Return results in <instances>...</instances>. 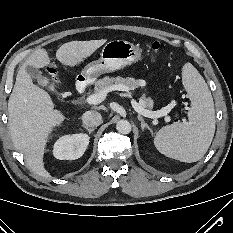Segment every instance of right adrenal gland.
<instances>
[{
  "mask_svg": "<svg viewBox=\"0 0 233 233\" xmlns=\"http://www.w3.org/2000/svg\"><path fill=\"white\" fill-rule=\"evenodd\" d=\"M82 127L85 128L89 132V134H91V132L95 130V128H89L86 125H82Z\"/></svg>",
  "mask_w": 233,
  "mask_h": 233,
  "instance_id": "obj_1",
  "label": "right adrenal gland"
}]
</instances>
